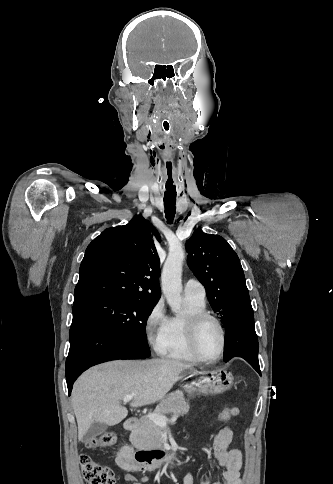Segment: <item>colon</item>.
I'll return each mask as SVG.
<instances>
[{
    "instance_id": "5ec220e1",
    "label": "colon",
    "mask_w": 333,
    "mask_h": 484,
    "mask_svg": "<svg viewBox=\"0 0 333 484\" xmlns=\"http://www.w3.org/2000/svg\"><path fill=\"white\" fill-rule=\"evenodd\" d=\"M230 415V408L225 407L217 411L216 416L219 420H227ZM117 441V436L113 432H106L88 442V447H111ZM80 465L85 481L89 484H114L115 474L107 466L96 463L88 455L80 456Z\"/></svg>"
}]
</instances>
